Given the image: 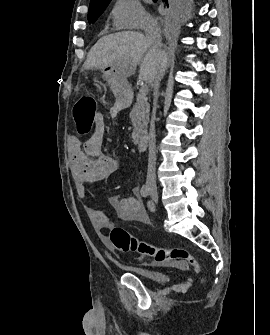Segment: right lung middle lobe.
<instances>
[{
  "label": "right lung middle lobe",
  "instance_id": "right-lung-middle-lobe-1",
  "mask_svg": "<svg viewBox=\"0 0 270 335\" xmlns=\"http://www.w3.org/2000/svg\"><path fill=\"white\" fill-rule=\"evenodd\" d=\"M155 2L157 0H154ZM195 0H178L174 2L175 6V13L177 17H181L186 15L189 10L192 8L194 5ZM108 6L107 4H99V5H92L89 6V11H88V22L89 24H93L99 17L100 15L104 12L106 7Z\"/></svg>",
  "mask_w": 270,
  "mask_h": 335
}]
</instances>
